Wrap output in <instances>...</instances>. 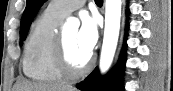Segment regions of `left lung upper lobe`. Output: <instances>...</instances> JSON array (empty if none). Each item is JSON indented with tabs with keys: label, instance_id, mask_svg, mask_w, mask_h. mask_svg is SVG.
Returning <instances> with one entry per match:
<instances>
[{
	"label": "left lung upper lobe",
	"instance_id": "1",
	"mask_svg": "<svg viewBox=\"0 0 173 91\" xmlns=\"http://www.w3.org/2000/svg\"><path fill=\"white\" fill-rule=\"evenodd\" d=\"M44 1L45 0H26V8L23 12L20 26L21 41L25 40L35 13Z\"/></svg>",
	"mask_w": 173,
	"mask_h": 91
}]
</instances>
